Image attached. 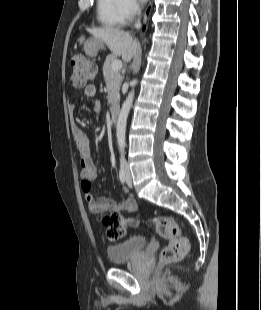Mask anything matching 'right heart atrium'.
I'll use <instances>...</instances> for the list:
<instances>
[{
    "label": "right heart atrium",
    "mask_w": 261,
    "mask_h": 310,
    "mask_svg": "<svg viewBox=\"0 0 261 310\" xmlns=\"http://www.w3.org/2000/svg\"><path fill=\"white\" fill-rule=\"evenodd\" d=\"M119 13L123 22L129 23L140 13V5L137 0H118Z\"/></svg>",
    "instance_id": "d8ad5b80"
}]
</instances>
